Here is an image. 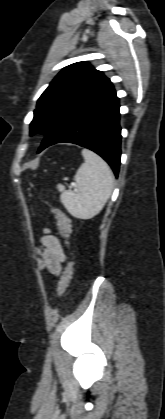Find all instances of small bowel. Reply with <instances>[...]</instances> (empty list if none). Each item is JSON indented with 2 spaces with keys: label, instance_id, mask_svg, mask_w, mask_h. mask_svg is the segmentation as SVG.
I'll list each match as a JSON object with an SVG mask.
<instances>
[{
  "label": "small bowel",
  "instance_id": "obj_1",
  "mask_svg": "<svg viewBox=\"0 0 165 419\" xmlns=\"http://www.w3.org/2000/svg\"><path fill=\"white\" fill-rule=\"evenodd\" d=\"M65 261L66 255L59 239L46 230V234L40 239V267L55 276H61Z\"/></svg>",
  "mask_w": 165,
  "mask_h": 419
}]
</instances>
